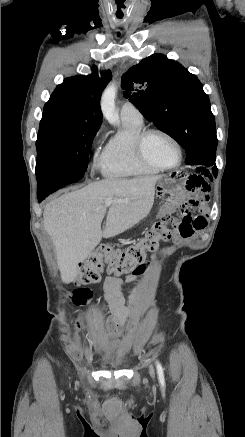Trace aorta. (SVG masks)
Instances as JSON below:
<instances>
[{"instance_id":"1","label":"aorta","mask_w":245,"mask_h":437,"mask_svg":"<svg viewBox=\"0 0 245 437\" xmlns=\"http://www.w3.org/2000/svg\"><path fill=\"white\" fill-rule=\"evenodd\" d=\"M117 88L115 84H110L103 92L101 98V109L105 119L110 124H115L119 120L118 113L115 110V97Z\"/></svg>"}]
</instances>
